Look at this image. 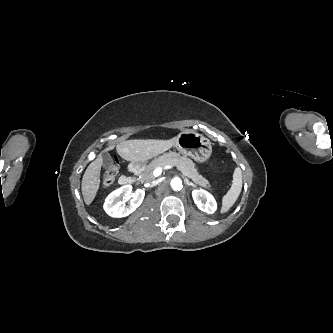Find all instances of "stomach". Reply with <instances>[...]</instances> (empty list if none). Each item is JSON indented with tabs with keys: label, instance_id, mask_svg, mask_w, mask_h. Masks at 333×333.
<instances>
[{
	"label": "stomach",
	"instance_id": "1",
	"mask_svg": "<svg viewBox=\"0 0 333 333\" xmlns=\"http://www.w3.org/2000/svg\"><path fill=\"white\" fill-rule=\"evenodd\" d=\"M175 147L184 156H189L198 163L207 162L212 154V145L209 139L196 132H181L176 137ZM145 163H133V165L141 167Z\"/></svg>",
	"mask_w": 333,
	"mask_h": 333
}]
</instances>
